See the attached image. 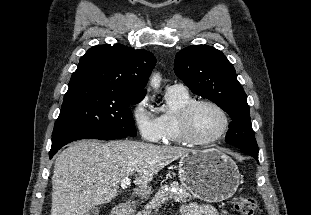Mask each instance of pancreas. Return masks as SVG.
I'll use <instances>...</instances> for the list:
<instances>
[{"instance_id": "pancreas-1", "label": "pancreas", "mask_w": 311, "mask_h": 215, "mask_svg": "<svg viewBox=\"0 0 311 215\" xmlns=\"http://www.w3.org/2000/svg\"><path fill=\"white\" fill-rule=\"evenodd\" d=\"M175 189L177 191H175ZM192 198V195L177 183L162 186L153 199L144 206L143 210L138 212L137 215H150L152 211L157 212L161 207V204L168 201L174 200L175 202H186Z\"/></svg>"}]
</instances>
